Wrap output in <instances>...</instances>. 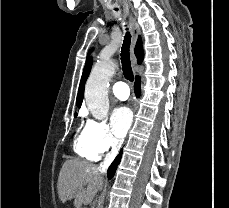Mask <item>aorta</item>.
<instances>
[{
  "mask_svg": "<svg viewBox=\"0 0 229 208\" xmlns=\"http://www.w3.org/2000/svg\"><path fill=\"white\" fill-rule=\"evenodd\" d=\"M116 65L111 61H100L95 64L85 85V100L92 116L104 119L109 111L108 85L114 75Z\"/></svg>",
  "mask_w": 229,
  "mask_h": 208,
  "instance_id": "762f6f07",
  "label": "aorta"
}]
</instances>
